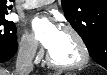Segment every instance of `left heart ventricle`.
Listing matches in <instances>:
<instances>
[{
    "label": "left heart ventricle",
    "instance_id": "obj_1",
    "mask_svg": "<svg viewBox=\"0 0 107 75\" xmlns=\"http://www.w3.org/2000/svg\"><path fill=\"white\" fill-rule=\"evenodd\" d=\"M52 59L58 64H72L80 59V50L75 39L61 31L55 47L50 51Z\"/></svg>",
    "mask_w": 107,
    "mask_h": 75
}]
</instances>
